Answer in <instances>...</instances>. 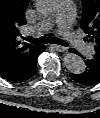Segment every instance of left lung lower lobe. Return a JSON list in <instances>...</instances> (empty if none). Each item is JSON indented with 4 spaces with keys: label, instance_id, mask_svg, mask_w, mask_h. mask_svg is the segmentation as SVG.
<instances>
[{
    "label": "left lung lower lobe",
    "instance_id": "obj_1",
    "mask_svg": "<svg viewBox=\"0 0 100 118\" xmlns=\"http://www.w3.org/2000/svg\"><path fill=\"white\" fill-rule=\"evenodd\" d=\"M86 70L80 74L70 73V77L82 85H95L100 82V56L93 55L92 58L84 60Z\"/></svg>",
    "mask_w": 100,
    "mask_h": 118
}]
</instances>
